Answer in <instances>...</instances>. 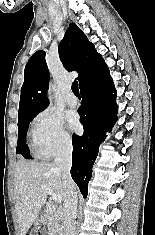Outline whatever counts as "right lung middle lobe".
<instances>
[{"instance_id":"right-lung-middle-lobe-1","label":"right lung middle lobe","mask_w":155,"mask_h":235,"mask_svg":"<svg viewBox=\"0 0 155 235\" xmlns=\"http://www.w3.org/2000/svg\"><path fill=\"white\" fill-rule=\"evenodd\" d=\"M37 113H29L18 117V144L16 154H21L24 158L31 159L29 149L26 145V134L30 122L34 119Z\"/></svg>"}]
</instances>
